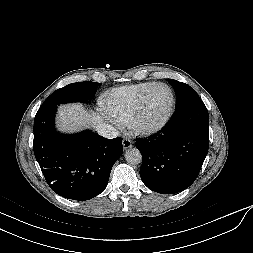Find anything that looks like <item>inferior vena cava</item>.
I'll return each instance as SVG.
<instances>
[{"label":"inferior vena cava","instance_id":"1","mask_svg":"<svg viewBox=\"0 0 253 253\" xmlns=\"http://www.w3.org/2000/svg\"><path fill=\"white\" fill-rule=\"evenodd\" d=\"M96 131L99 135L105 138H116L119 135L118 130L110 124L100 123L96 126Z\"/></svg>","mask_w":253,"mask_h":253}]
</instances>
